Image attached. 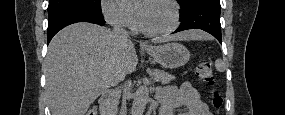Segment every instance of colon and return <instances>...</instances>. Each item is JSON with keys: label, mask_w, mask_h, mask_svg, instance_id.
<instances>
[{"label": "colon", "mask_w": 285, "mask_h": 115, "mask_svg": "<svg viewBox=\"0 0 285 115\" xmlns=\"http://www.w3.org/2000/svg\"><path fill=\"white\" fill-rule=\"evenodd\" d=\"M196 74L201 82L208 85L209 87H213L215 84L213 71L211 65L208 62H201L196 67ZM222 104V99L218 92L215 90L212 91L211 94V105L214 110H218ZM88 115H97V111L95 109H90L87 113Z\"/></svg>", "instance_id": "1"}]
</instances>
